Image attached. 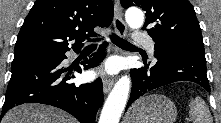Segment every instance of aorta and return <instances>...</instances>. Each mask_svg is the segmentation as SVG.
Wrapping results in <instances>:
<instances>
[{
    "instance_id": "obj_1",
    "label": "aorta",
    "mask_w": 221,
    "mask_h": 123,
    "mask_svg": "<svg viewBox=\"0 0 221 123\" xmlns=\"http://www.w3.org/2000/svg\"><path fill=\"white\" fill-rule=\"evenodd\" d=\"M125 19L131 28L137 29L143 25L144 15L140 9L132 7L126 11ZM130 83V78L127 75L122 76L117 81L104 104L99 123L119 122L128 99Z\"/></svg>"
}]
</instances>
